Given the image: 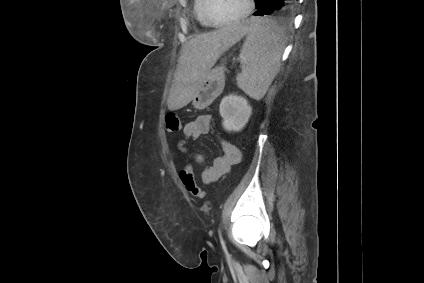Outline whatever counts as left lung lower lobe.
Masks as SVG:
<instances>
[{
    "label": "left lung lower lobe",
    "instance_id": "0a47b994",
    "mask_svg": "<svg viewBox=\"0 0 424 283\" xmlns=\"http://www.w3.org/2000/svg\"><path fill=\"white\" fill-rule=\"evenodd\" d=\"M296 0H255L256 16L273 14L279 10H288L295 6Z\"/></svg>",
    "mask_w": 424,
    "mask_h": 283
}]
</instances>
